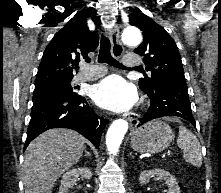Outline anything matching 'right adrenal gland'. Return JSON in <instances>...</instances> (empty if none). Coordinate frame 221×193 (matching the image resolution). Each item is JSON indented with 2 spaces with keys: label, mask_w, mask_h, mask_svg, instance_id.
I'll use <instances>...</instances> for the list:
<instances>
[{
  "label": "right adrenal gland",
  "mask_w": 221,
  "mask_h": 193,
  "mask_svg": "<svg viewBox=\"0 0 221 193\" xmlns=\"http://www.w3.org/2000/svg\"><path fill=\"white\" fill-rule=\"evenodd\" d=\"M84 152H85L84 157H87V156L91 157L90 152H88V151L86 150V146H85V148H84Z\"/></svg>",
  "instance_id": "2a0ac1e0"
}]
</instances>
